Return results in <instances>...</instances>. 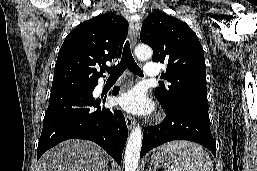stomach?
<instances>
[{
	"mask_svg": "<svg viewBox=\"0 0 257 171\" xmlns=\"http://www.w3.org/2000/svg\"><path fill=\"white\" fill-rule=\"evenodd\" d=\"M151 158L152 163L156 168H168L172 163L169 152L165 151L163 148L155 150Z\"/></svg>",
	"mask_w": 257,
	"mask_h": 171,
	"instance_id": "stomach-1",
	"label": "stomach"
}]
</instances>
